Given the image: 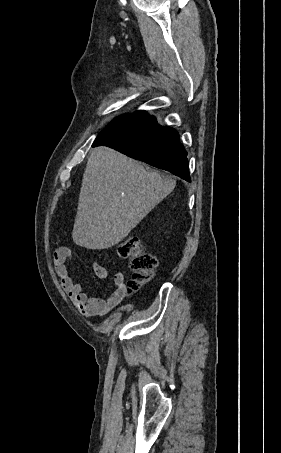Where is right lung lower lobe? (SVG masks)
Masks as SVG:
<instances>
[{
	"label": "right lung lower lobe",
	"mask_w": 281,
	"mask_h": 453,
	"mask_svg": "<svg viewBox=\"0 0 281 453\" xmlns=\"http://www.w3.org/2000/svg\"><path fill=\"white\" fill-rule=\"evenodd\" d=\"M101 145L191 181L187 152L179 141L178 132L160 126L155 117L145 111L122 115L110 122L92 146Z\"/></svg>",
	"instance_id": "1"
}]
</instances>
